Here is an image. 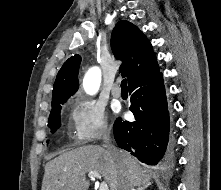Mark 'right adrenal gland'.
Listing matches in <instances>:
<instances>
[{
    "mask_svg": "<svg viewBox=\"0 0 221 190\" xmlns=\"http://www.w3.org/2000/svg\"><path fill=\"white\" fill-rule=\"evenodd\" d=\"M149 186H150V184H146L141 187H138L136 190H146Z\"/></svg>",
    "mask_w": 221,
    "mask_h": 190,
    "instance_id": "2a0ac1e0",
    "label": "right adrenal gland"
}]
</instances>
